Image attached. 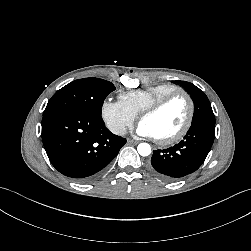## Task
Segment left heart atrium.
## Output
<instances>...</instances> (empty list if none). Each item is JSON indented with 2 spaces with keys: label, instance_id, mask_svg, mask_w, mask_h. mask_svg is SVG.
<instances>
[{
  "label": "left heart atrium",
  "instance_id": "39dd6f15",
  "mask_svg": "<svg viewBox=\"0 0 251 251\" xmlns=\"http://www.w3.org/2000/svg\"><path fill=\"white\" fill-rule=\"evenodd\" d=\"M137 134L140 136H143V137L154 138V135L151 132V130L141 122L139 123V125L137 127Z\"/></svg>",
  "mask_w": 251,
  "mask_h": 251
}]
</instances>
